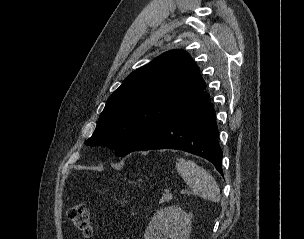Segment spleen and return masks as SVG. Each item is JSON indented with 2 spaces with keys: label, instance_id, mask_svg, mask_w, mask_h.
<instances>
[{
  "label": "spleen",
  "instance_id": "obj_1",
  "mask_svg": "<svg viewBox=\"0 0 304 239\" xmlns=\"http://www.w3.org/2000/svg\"><path fill=\"white\" fill-rule=\"evenodd\" d=\"M175 168L196 196L219 202L220 189L211 174L204 168L184 158L177 159Z\"/></svg>",
  "mask_w": 304,
  "mask_h": 239
}]
</instances>
